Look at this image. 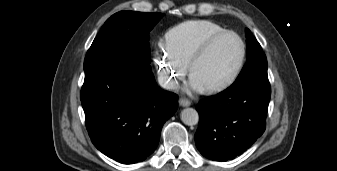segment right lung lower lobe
<instances>
[{"mask_svg":"<svg viewBox=\"0 0 337 171\" xmlns=\"http://www.w3.org/2000/svg\"><path fill=\"white\" fill-rule=\"evenodd\" d=\"M84 71L81 103L94 146L120 163L145 160L176 112L178 96L157 86L150 65L110 59Z\"/></svg>","mask_w":337,"mask_h":171,"instance_id":"right-lung-lower-lobe-1","label":"right lung lower lobe"}]
</instances>
